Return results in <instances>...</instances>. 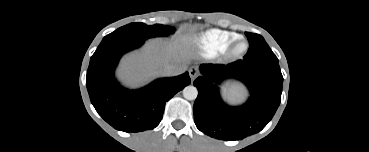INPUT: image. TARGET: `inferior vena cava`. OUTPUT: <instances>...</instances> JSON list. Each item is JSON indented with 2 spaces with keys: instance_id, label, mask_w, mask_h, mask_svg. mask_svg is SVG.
<instances>
[{
  "instance_id": "602c4592",
  "label": "inferior vena cava",
  "mask_w": 369,
  "mask_h": 152,
  "mask_svg": "<svg viewBox=\"0 0 369 152\" xmlns=\"http://www.w3.org/2000/svg\"><path fill=\"white\" fill-rule=\"evenodd\" d=\"M164 72L167 75H177L183 72V68L173 64H167L164 66Z\"/></svg>"
}]
</instances>
